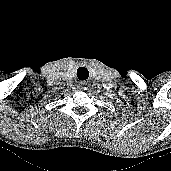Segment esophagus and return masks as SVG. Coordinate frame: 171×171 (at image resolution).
<instances>
[{
  "instance_id": "esophagus-1",
  "label": "esophagus",
  "mask_w": 171,
  "mask_h": 171,
  "mask_svg": "<svg viewBox=\"0 0 171 171\" xmlns=\"http://www.w3.org/2000/svg\"><path fill=\"white\" fill-rule=\"evenodd\" d=\"M85 85H87V83H85V82H81L80 83V87L83 89V88H86V87H84Z\"/></svg>"
}]
</instances>
